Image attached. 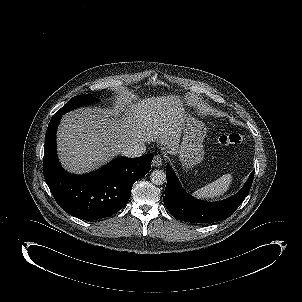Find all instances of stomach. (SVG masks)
<instances>
[{"instance_id": "stomach-1", "label": "stomach", "mask_w": 302, "mask_h": 302, "mask_svg": "<svg viewBox=\"0 0 302 302\" xmlns=\"http://www.w3.org/2000/svg\"><path fill=\"white\" fill-rule=\"evenodd\" d=\"M182 141L178 149V157L184 170H190L204 159V146L207 130L204 123L194 117L184 116L182 119Z\"/></svg>"}]
</instances>
